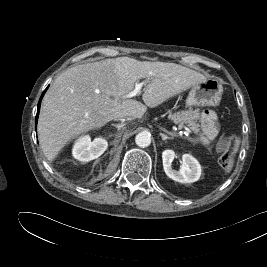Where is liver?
Segmentation results:
<instances>
[{
	"label": "liver",
	"mask_w": 267,
	"mask_h": 267,
	"mask_svg": "<svg viewBox=\"0 0 267 267\" xmlns=\"http://www.w3.org/2000/svg\"><path fill=\"white\" fill-rule=\"evenodd\" d=\"M142 78L147 79L142 99L150 108L206 79L175 63L129 57L72 67L55 79L43 98L37 130L44 155L53 160L72 139L111 120L142 118L147 107L123 98Z\"/></svg>",
	"instance_id": "1"
}]
</instances>
